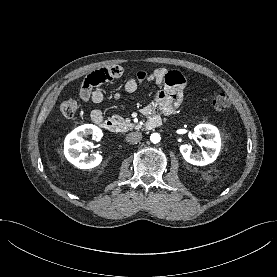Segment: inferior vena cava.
I'll list each match as a JSON object with an SVG mask.
<instances>
[{"mask_svg":"<svg viewBox=\"0 0 277 277\" xmlns=\"http://www.w3.org/2000/svg\"><path fill=\"white\" fill-rule=\"evenodd\" d=\"M141 139H142V134L139 132H131L126 136V141L131 144L138 143Z\"/></svg>","mask_w":277,"mask_h":277,"instance_id":"obj_1","label":"inferior vena cava"}]
</instances>
